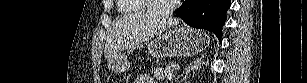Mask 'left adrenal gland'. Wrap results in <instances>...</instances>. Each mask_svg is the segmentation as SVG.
<instances>
[{
	"label": "left adrenal gland",
	"mask_w": 307,
	"mask_h": 83,
	"mask_svg": "<svg viewBox=\"0 0 307 83\" xmlns=\"http://www.w3.org/2000/svg\"><path fill=\"white\" fill-rule=\"evenodd\" d=\"M204 56H201L200 58H196L193 60V62H191L189 64V66L187 68H185L184 70V76H183V80H185L188 76V74H190L191 71L197 70L198 68H201V66L204 64V62H202Z\"/></svg>",
	"instance_id": "a2214340"
}]
</instances>
